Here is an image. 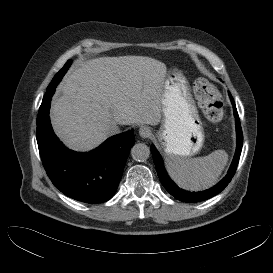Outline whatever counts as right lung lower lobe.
<instances>
[{"label":"right lung lower lobe","mask_w":273,"mask_h":273,"mask_svg":"<svg viewBox=\"0 0 273 273\" xmlns=\"http://www.w3.org/2000/svg\"><path fill=\"white\" fill-rule=\"evenodd\" d=\"M55 89L46 92L37 116L39 153L52 183L66 196L95 204L114 195L133 146L134 130L106 140L97 149L77 153L64 147L55 136L49 118L51 98Z\"/></svg>","instance_id":"1"}]
</instances>
